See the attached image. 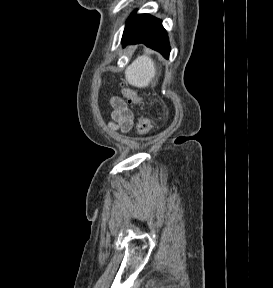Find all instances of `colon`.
Masks as SVG:
<instances>
[{"mask_svg": "<svg viewBox=\"0 0 273 288\" xmlns=\"http://www.w3.org/2000/svg\"><path fill=\"white\" fill-rule=\"evenodd\" d=\"M123 97L131 104H138L141 98L138 93L132 88H122ZM152 128V121L148 116L142 115L137 122L136 131L139 135H146Z\"/></svg>", "mask_w": 273, "mask_h": 288, "instance_id": "1", "label": "colon"}]
</instances>
